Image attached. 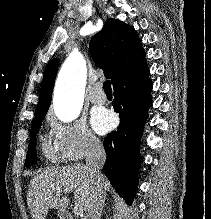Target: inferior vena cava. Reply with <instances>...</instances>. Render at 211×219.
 <instances>
[{
    "label": "inferior vena cava",
    "instance_id": "obj_1",
    "mask_svg": "<svg viewBox=\"0 0 211 219\" xmlns=\"http://www.w3.org/2000/svg\"><path fill=\"white\" fill-rule=\"evenodd\" d=\"M106 161V154L101 142L96 138L89 139V146L86 153V166L94 181L95 192L90 203L85 219H100L106 193L103 188L104 177L101 169Z\"/></svg>",
    "mask_w": 211,
    "mask_h": 219
}]
</instances>
